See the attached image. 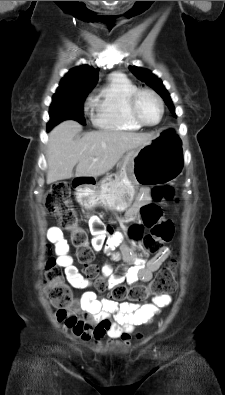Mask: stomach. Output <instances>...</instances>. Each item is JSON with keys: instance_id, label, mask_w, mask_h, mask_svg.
Here are the masks:
<instances>
[{"instance_id": "stomach-1", "label": "stomach", "mask_w": 225, "mask_h": 395, "mask_svg": "<svg viewBox=\"0 0 225 395\" xmlns=\"http://www.w3.org/2000/svg\"><path fill=\"white\" fill-rule=\"evenodd\" d=\"M180 174L179 161L155 138L149 144L129 151L118 175H107L97 189L78 188L77 199L86 208L102 205L124 211L132 204L138 186L169 183Z\"/></svg>"}]
</instances>
